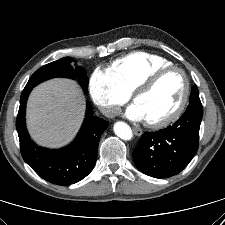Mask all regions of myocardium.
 Here are the masks:
<instances>
[{
    "instance_id": "obj_1",
    "label": "myocardium",
    "mask_w": 225,
    "mask_h": 225,
    "mask_svg": "<svg viewBox=\"0 0 225 225\" xmlns=\"http://www.w3.org/2000/svg\"><path fill=\"white\" fill-rule=\"evenodd\" d=\"M171 71H177L181 74L183 79V94L181 97L180 102L176 106V108L166 115L165 117L155 120V121H145V124L153 129H160L163 127L168 126L169 124L175 122L184 112L188 99L190 94V82L189 78L181 67L170 65L163 68H160L153 73H151L148 77H146L139 85L138 87L132 92V100L135 101V99L148 92L155 84L156 82L165 74L171 72Z\"/></svg>"
}]
</instances>
